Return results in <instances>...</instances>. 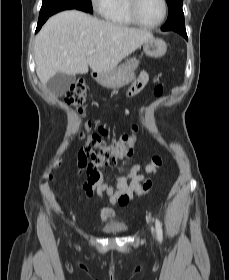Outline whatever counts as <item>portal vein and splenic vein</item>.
Instances as JSON below:
<instances>
[{
	"mask_svg": "<svg viewBox=\"0 0 229 280\" xmlns=\"http://www.w3.org/2000/svg\"><path fill=\"white\" fill-rule=\"evenodd\" d=\"M93 53H95V50H90V51H87L86 55H92Z\"/></svg>",
	"mask_w": 229,
	"mask_h": 280,
	"instance_id": "portal-vein-and-splenic-vein-1",
	"label": "portal vein and splenic vein"
}]
</instances>
